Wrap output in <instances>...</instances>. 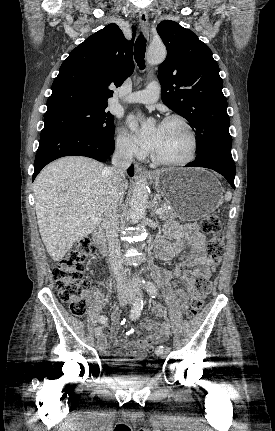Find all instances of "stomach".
I'll use <instances>...</instances> for the list:
<instances>
[{
    "instance_id": "stomach-1",
    "label": "stomach",
    "mask_w": 275,
    "mask_h": 431,
    "mask_svg": "<svg viewBox=\"0 0 275 431\" xmlns=\"http://www.w3.org/2000/svg\"><path fill=\"white\" fill-rule=\"evenodd\" d=\"M152 181L176 216L184 221L208 215L222 201L219 181L205 169H163L154 174Z\"/></svg>"
}]
</instances>
